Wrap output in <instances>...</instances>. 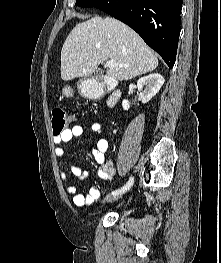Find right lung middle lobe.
Segmentation results:
<instances>
[{
	"mask_svg": "<svg viewBox=\"0 0 221 263\" xmlns=\"http://www.w3.org/2000/svg\"><path fill=\"white\" fill-rule=\"evenodd\" d=\"M103 0H76V6L96 7Z\"/></svg>",
	"mask_w": 221,
	"mask_h": 263,
	"instance_id": "obj_1",
	"label": "right lung middle lobe"
}]
</instances>
